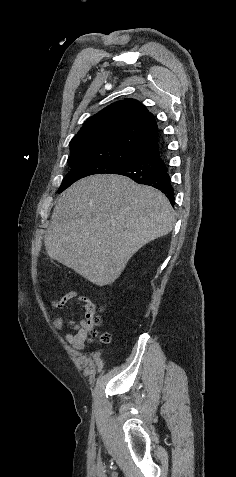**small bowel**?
<instances>
[{
  "label": "small bowel",
  "mask_w": 236,
  "mask_h": 477,
  "mask_svg": "<svg viewBox=\"0 0 236 477\" xmlns=\"http://www.w3.org/2000/svg\"><path fill=\"white\" fill-rule=\"evenodd\" d=\"M78 298V301L82 304L83 315L79 320H76L70 316L67 317V324L75 330L74 334H66V340L72 344L75 348L81 349L87 340L88 334L92 329L91 320L96 314V304L86 296H78V293L74 290L67 292L60 299L53 302V306L57 309L64 308L72 299ZM64 318L57 316L55 319V327L60 330L63 327Z\"/></svg>",
  "instance_id": "1"
}]
</instances>
